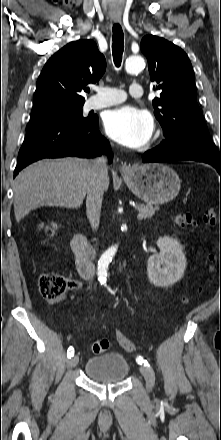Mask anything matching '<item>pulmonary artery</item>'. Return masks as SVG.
Wrapping results in <instances>:
<instances>
[{
  "mask_svg": "<svg viewBox=\"0 0 221 440\" xmlns=\"http://www.w3.org/2000/svg\"><path fill=\"white\" fill-rule=\"evenodd\" d=\"M128 92L130 96L135 98L142 97L144 94L143 87L139 83H132ZM127 97V93L122 89L101 87L97 89V94L86 102L85 109L95 110L120 104L124 102Z\"/></svg>",
  "mask_w": 221,
  "mask_h": 440,
  "instance_id": "obj_1",
  "label": "pulmonary artery"
}]
</instances>
